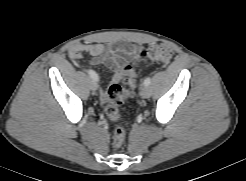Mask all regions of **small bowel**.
I'll list each match as a JSON object with an SVG mask.
<instances>
[{
	"mask_svg": "<svg viewBox=\"0 0 246 181\" xmlns=\"http://www.w3.org/2000/svg\"><path fill=\"white\" fill-rule=\"evenodd\" d=\"M139 47L135 45L114 47L103 43H77L70 47L69 57L78 64L84 53L91 55L92 64L103 65L112 71L111 83H120L124 78L123 67L128 60L136 55ZM104 90L100 89L103 102Z\"/></svg>",
	"mask_w": 246,
	"mask_h": 181,
	"instance_id": "c3829d8e",
	"label": "small bowel"
}]
</instances>
